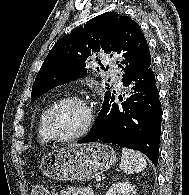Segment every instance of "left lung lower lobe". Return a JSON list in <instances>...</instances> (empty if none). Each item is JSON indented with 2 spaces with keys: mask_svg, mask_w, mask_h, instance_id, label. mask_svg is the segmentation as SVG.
I'll list each match as a JSON object with an SVG mask.
<instances>
[{
  "mask_svg": "<svg viewBox=\"0 0 189 195\" xmlns=\"http://www.w3.org/2000/svg\"><path fill=\"white\" fill-rule=\"evenodd\" d=\"M130 95L121 104L106 100L90 134L79 143L103 141L144 153L155 166L161 132V105L151 59L123 80Z\"/></svg>",
  "mask_w": 189,
  "mask_h": 195,
  "instance_id": "obj_1",
  "label": "left lung lower lobe"
}]
</instances>
